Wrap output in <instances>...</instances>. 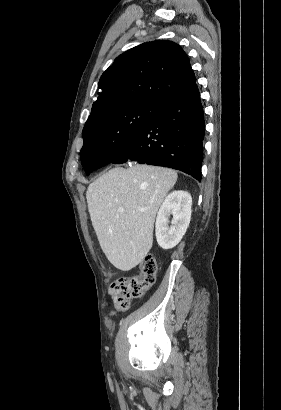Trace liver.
Segmentation results:
<instances>
[{"instance_id": "liver-1", "label": "liver", "mask_w": 281, "mask_h": 410, "mask_svg": "<svg viewBox=\"0 0 281 410\" xmlns=\"http://www.w3.org/2000/svg\"><path fill=\"white\" fill-rule=\"evenodd\" d=\"M177 178L172 169L136 164L113 168L88 186L93 228L102 251L117 269L136 267L152 248L156 213Z\"/></svg>"}]
</instances>
